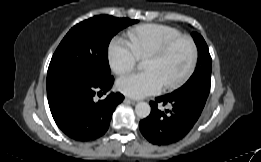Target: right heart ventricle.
Returning <instances> with one entry per match:
<instances>
[{"mask_svg":"<svg viewBox=\"0 0 261 162\" xmlns=\"http://www.w3.org/2000/svg\"><path fill=\"white\" fill-rule=\"evenodd\" d=\"M180 35L178 29L162 24H143L127 32L128 43L137 58L146 57L152 50Z\"/></svg>","mask_w":261,"mask_h":162,"instance_id":"obj_1","label":"right heart ventricle"}]
</instances>
